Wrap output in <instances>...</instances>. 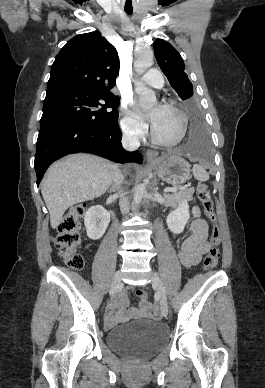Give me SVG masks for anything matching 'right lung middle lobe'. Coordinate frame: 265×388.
<instances>
[{
  "label": "right lung middle lobe",
  "instance_id": "obj_1",
  "mask_svg": "<svg viewBox=\"0 0 265 388\" xmlns=\"http://www.w3.org/2000/svg\"><path fill=\"white\" fill-rule=\"evenodd\" d=\"M119 102V97L108 90L69 91L46 95L40 128L62 122L110 127L117 124Z\"/></svg>",
  "mask_w": 265,
  "mask_h": 388
}]
</instances>
